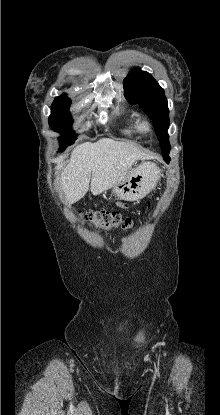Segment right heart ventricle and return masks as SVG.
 <instances>
[{"label":"right heart ventricle","instance_id":"1","mask_svg":"<svg viewBox=\"0 0 220 415\" xmlns=\"http://www.w3.org/2000/svg\"><path fill=\"white\" fill-rule=\"evenodd\" d=\"M139 121L135 120V119H128L126 121L123 122L122 125V131L125 134H133L136 133L139 130Z\"/></svg>","mask_w":220,"mask_h":415}]
</instances>
